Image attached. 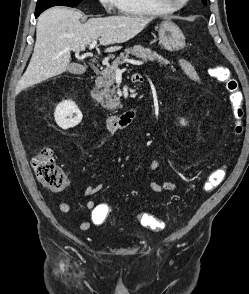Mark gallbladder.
Returning a JSON list of instances; mask_svg holds the SVG:
<instances>
[{
	"label": "gallbladder",
	"mask_w": 249,
	"mask_h": 294,
	"mask_svg": "<svg viewBox=\"0 0 249 294\" xmlns=\"http://www.w3.org/2000/svg\"><path fill=\"white\" fill-rule=\"evenodd\" d=\"M68 70L74 74H81L84 71L83 67L76 63L71 64Z\"/></svg>",
	"instance_id": "obj_1"
}]
</instances>
